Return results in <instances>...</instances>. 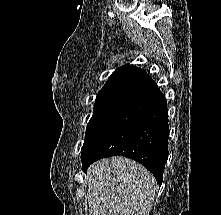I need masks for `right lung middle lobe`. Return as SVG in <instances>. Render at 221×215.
Wrapping results in <instances>:
<instances>
[{
  "label": "right lung middle lobe",
  "instance_id": "obj_1",
  "mask_svg": "<svg viewBox=\"0 0 221 215\" xmlns=\"http://www.w3.org/2000/svg\"><path fill=\"white\" fill-rule=\"evenodd\" d=\"M130 103V100H107L95 103L94 113L86 128L81 158L92 152Z\"/></svg>",
  "mask_w": 221,
  "mask_h": 215
}]
</instances>
